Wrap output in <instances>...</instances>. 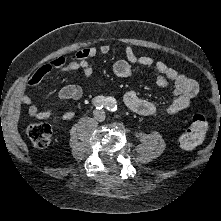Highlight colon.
I'll return each instance as SVG.
<instances>
[{
	"mask_svg": "<svg viewBox=\"0 0 221 221\" xmlns=\"http://www.w3.org/2000/svg\"><path fill=\"white\" fill-rule=\"evenodd\" d=\"M208 122L204 115L193 116L190 126L179 137V146L182 149H192L199 145L205 137ZM27 135L35 147L45 148L50 145L53 130L46 123H34L27 129Z\"/></svg>",
	"mask_w": 221,
	"mask_h": 221,
	"instance_id": "5ec220e1",
	"label": "colon"
}]
</instances>
